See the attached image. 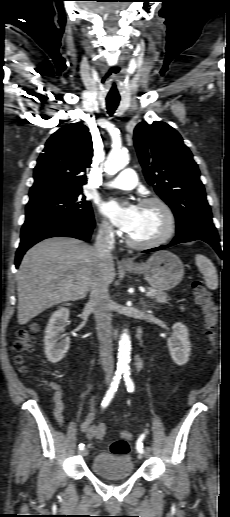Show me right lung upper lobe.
Instances as JSON below:
<instances>
[{
  "label": "right lung upper lobe",
  "instance_id": "obj_1",
  "mask_svg": "<svg viewBox=\"0 0 230 517\" xmlns=\"http://www.w3.org/2000/svg\"><path fill=\"white\" fill-rule=\"evenodd\" d=\"M93 143L86 126L68 124L47 140L34 169L30 200L48 195L82 190L83 174L91 164Z\"/></svg>",
  "mask_w": 230,
  "mask_h": 517
}]
</instances>
